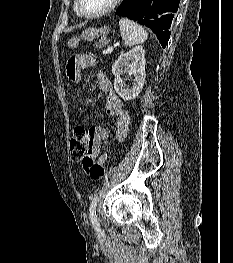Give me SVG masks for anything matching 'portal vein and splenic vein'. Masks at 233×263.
<instances>
[{
	"mask_svg": "<svg viewBox=\"0 0 233 263\" xmlns=\"http://www.w3.org/2000/svg\"><path fill=\"white\" fill-rule=\"evenodd\" d=\"M112 51H113V47L110 46V47H108L106 50L103 51V54H109V53H111Z\"/></svg>",
	"mask_w": 233,
	"mask_h": 263,
	"instance_id": "18ae733b",
	"label": "portal vein and splenic vein"
}]
</instances>
